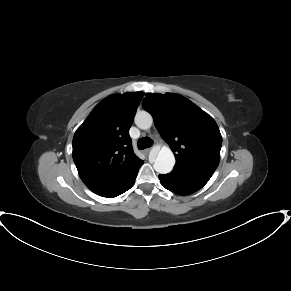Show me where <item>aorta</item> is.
<instances>
[{
  "mask_svg": "<svg viewBox=\"0 0 291 291\" xmlns=\"http://www.w3.org/2000/svg\"><path fill=\"white\" fill-rule=\"evenodd\" d=\"M135 124L142 130H147L152 126L153 118L147 111H138L135 115ZM175 164V157L171 149L163 146L154 161V170L160 174H167L172 171Z\"/></svg>",
  "mask_w": 291,
  "mask_h": 291,
  "instance_id": "obj_1",
  "label": "aorta"
}]
</instances>
